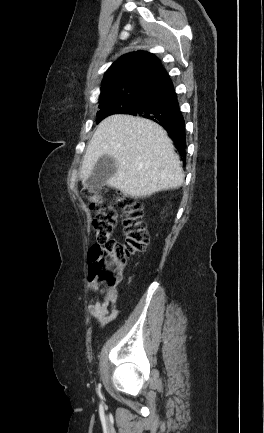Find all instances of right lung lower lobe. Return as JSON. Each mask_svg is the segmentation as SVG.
Segmentation results:
<instances>
[{
    "label": "right lung lower lobe",
    "instance_id": "98d812e1",
    "mask_svg": "<svg viewBox=\"0 0 264 433\" xmlns=\"http://www.w3.org/2000/svg\"><path fill=\"white\" fill-rule=\"evenodd\" d=\"M127 114L140 115L161 125L174 140L179 153L186 156L184 118L171 79L163 67L142 85Z\"/></svg>",
    "mask_w": 264,
    "mask_h": 433
}]
</instances>
